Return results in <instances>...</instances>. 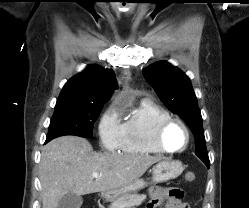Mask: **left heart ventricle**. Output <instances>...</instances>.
Masks as SVG:
<instances>
[{
    "instance_id": "1",
    "label": "left heart ventricle",
    "mask_w": 249,
    "mask_h": 208,
    "mask_svg": "<svg viewBox=\"0 0 249 208\" xmlns=\"http://www.w3.org/2000/svg\"><path fill=\"white\" fill-rule=\"evenodd\" d=\"M164 144L170 149H180L186 142V134L179 124H172L163 136Z\"/></svg>"
}]
</instances>
